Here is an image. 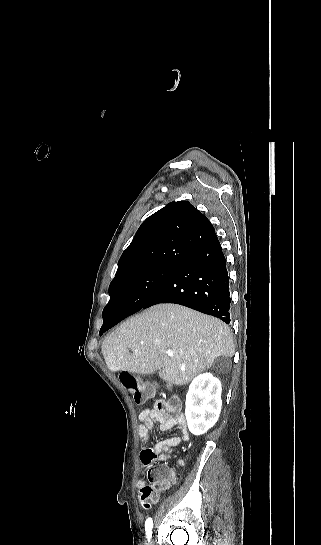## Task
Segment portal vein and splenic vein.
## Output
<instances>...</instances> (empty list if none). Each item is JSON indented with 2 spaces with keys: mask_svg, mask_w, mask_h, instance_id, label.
<instances>
[{
  "mask_svg": "<svg viewBox=\"0 0 321 545\" xmlns=\"http://www.w3.org/2000/svg\"><path fill=\"white\" fill-rule=\"evenodd\" d=\"M166 353H167L168 357H172V355H173V351H166Z\"/></svg>",
  "mask_w": 321,
  "mask_h": 545,
  "instance_id": "obj_1",
  "label": "portal vein and splenic vein"
}]
</instances>
